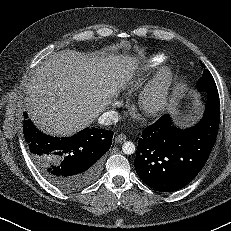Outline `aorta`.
<instances>
[{
  "label": "aorta",
  "instance_id": "aorta-1",
  "mask_svg": "<svg viewBox=\"0 0 231 231\" xmlns=\"http://www.w3.org/2000/svg\"><path fill=\"white\" fill-rule=\"evenodd\" d=\"M122 150L125 154L131 155L135 152V145L131 141H127L123 144Z\"/></svg>",
  "mask_w": 231,
  "mask_h": 231
}]
</instances>
